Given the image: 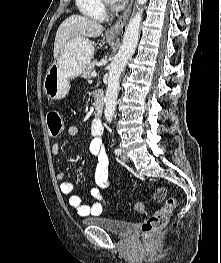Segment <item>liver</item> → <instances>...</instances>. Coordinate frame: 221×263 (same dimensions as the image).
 Masks as SVG:
<instances>
[{
    "label": "liver",
    "instance_id": "obj_1",
    "mask_svg": "<svg viewBox=\"0 0 221 263\" xmlns=\"http://www.w3.org/2000/svg\"><path fill=\"white\" fill-rule=\"evenodd\" d=\"M104 31L98 22L81 15H71L59 26L55 42L54 57L58 58L64 46L73 38H97Z\"/></svg>",
    "mask_w": 221,
    "mask_h": 263
}]
</instances>
